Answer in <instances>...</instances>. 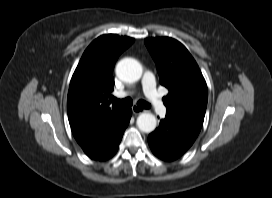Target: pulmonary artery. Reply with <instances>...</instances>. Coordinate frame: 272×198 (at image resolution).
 Masks as SVG:
<instances>
[{
  "instance_id": "pulmonary-artery-1",
  "label": "pulmonary artery",
  "mask_w": 272,
  "mask_h": 198,
  "mask_svg": "<svg viewBox=\"0 0 272 198\" xmlns=\"http://www.w3.org/2000/svg\"><path fill=\"white\" fill-rule=\"evenodd\" d=\"M143 91L147 99L149 100L150 105L153 109L161 116H164L166 113V107L162 103L158 91L156 89V83L154 76L151 72H145L142 80ZM129 95L128 92L125 91H117L114 93L116 98H125Z\"/></svg>"
}]
</instances>
